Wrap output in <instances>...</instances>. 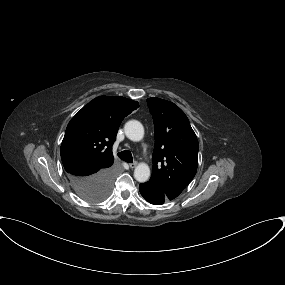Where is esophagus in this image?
Masks as SVG:
<instances>
[{"mask_svg": "<svg viewBox=\"0 0 285 285\" xmlns=\"http://www.w3.org/2000/svg\"><path fill=\"white\" fill-rule=\"evenodd\" d=\"M130 168H135L137 166V162H133L129 164Z\"/></svg>", "mask_w": 285, "mask_h": 285, "instance_id": "esophagus-1", "label": "esophagus"}]
</instances>
